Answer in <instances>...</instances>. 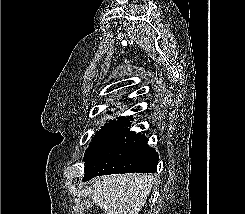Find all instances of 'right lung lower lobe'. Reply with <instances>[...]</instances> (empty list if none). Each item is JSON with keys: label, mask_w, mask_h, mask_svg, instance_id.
<instances>
[{"label": "right lung lower lobe", "mask_w": 245, "mask_h": 214, "mask_svg": "<svg viewBox=\"0 0 245 214\" xmlns=\"http://www.w3.org/2000/svg\"><path fill=\"white\" fill-rule=\"evenodd\" d=\"M128 132L126 139L118 146L119 165L112 171L87 175L83 180L87 181L98 175L113 173H154L157 170L158 153L147 144L144 134Z\"/></svg>", "instance_id": "obj_1"}]
</instances>
